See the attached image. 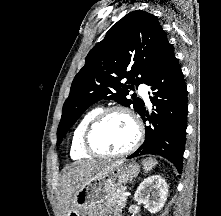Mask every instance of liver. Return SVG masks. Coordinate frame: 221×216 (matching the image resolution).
Listing matches in <instances>:
<instances>
[{
  "label": "liver",
  "mask_w": 221,
  "mask_h": 216,
  "mask_svg": "<svg viewBox=\"0 0 221 216\" xmlns=\"http://www.w3.org/2000/svg\"><path fill=\"white\" fill-rule=\"evenodd\" d=\"M108 164L107 161L95 160L82 161L73 167H68L61 178L59 200L65 212L68 211L71 201L78 189L93 175L102 170ZM66 216V215H65Z\"/></svg>",
  "instance_id": "6515ba94"
}]
</instances>
